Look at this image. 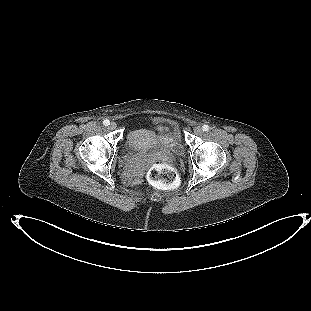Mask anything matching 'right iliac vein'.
I'll return each mask as SVG.
<instances>
[{
    "mask_svg": "<svg viewBox=\"0 0 311 311\" xmlns=\"http://www.w3.org/2000/svg\"><path fill=\"white\" fill-rule=\"evenodd\" d=\"M117 127V124L115 123V122H111L110 124H109V128L110 129H115Z\"/></svg>",
    "mask_w": 311,
    "mask_h": 311,
    "instance_id": "right-iliac-vein-1",
    "label": "right iliac vein"
}]
</instances>
